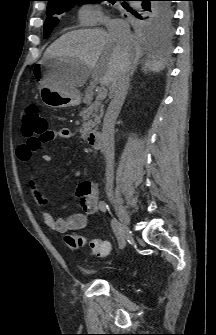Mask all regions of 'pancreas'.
Masks as SVG:
<instances>
[{"mask_svg": "<svg viewBox=\"0 0 216 335\" xmlns=\"http://www.w3.org/2000/svg\"><path fill=\"white\" fill-rule=\"evenodd\" d=\"M86 101V98H85ZM80 116L83 119V124L80 129L82 137L86 136L93 128L97 127L103 116V109L99 100L89 104V107L84 108Z\"/></svg>", "mask_w": 216, "mask_h": 335, "instance_id": "pancreas-1", "label": "pancreas"}]
</instances>
